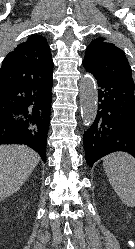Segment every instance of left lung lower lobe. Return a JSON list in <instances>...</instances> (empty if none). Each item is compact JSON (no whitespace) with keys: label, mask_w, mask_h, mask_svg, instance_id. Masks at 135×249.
<instances>
[{"label":"left lung lower lobe","mask_w":135,"mask_h":249,"mask_svg":"<svg viewBox=\"0 0 135 249\" xmlns=\"http://www.w3.org/2000/svg\"><path fill=\"white\" fill-rule=\"evenodd\" d=\"M91 74L98 87V107L93 124L84 133L87 164L92 167L116 151L135 158V86Z\"/></svg>","instance_id":"obj_1"}]
</instances>
